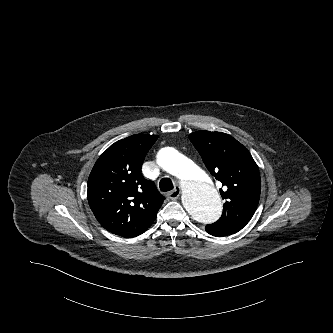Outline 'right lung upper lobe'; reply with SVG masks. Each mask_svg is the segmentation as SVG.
<instances>
[{"label": "right lung upper lobe", "mask_w": 333, "mask_h": 333, "mask_svg": "<svg viewBox=\"0 0 333 333\" xmlns=\"http://www.w3.org/2000/svg\"><path fill=\"white\" fill-rule=\"evenodd\" d=\"M157 135L136 134L112 144L95 163L88 179V202L99 223L126 238L145 232L164 197L141 174Z\"/></svg>", "instance_id": "1"}]
</instances>
